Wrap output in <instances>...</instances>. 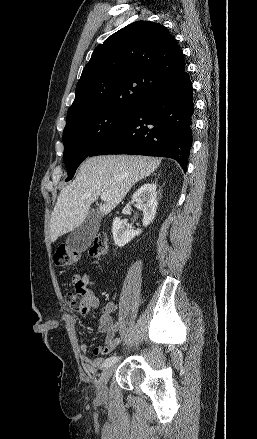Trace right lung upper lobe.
<instances>
[{
  "mask_svg": "<svg viewBox=\"0 0 257 439\" xmlns=\"http://www.w3.org/2000/svg\"><path fill=\"white\" fill-rule=\"evenodd\" d=\"M184 70L183 53L163 25L131 23L94 50L77 83L67 119L96 109H136Z\"/></svg>",
  "mask_w": 257,
  "mask_h": 439,
  "instance_id": "right-lung-upper-lobe-1",
  "label": "right lung upper lobe"
}]
</instances>
